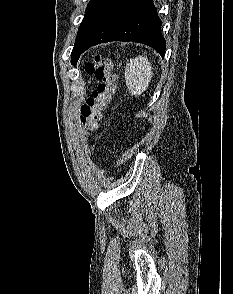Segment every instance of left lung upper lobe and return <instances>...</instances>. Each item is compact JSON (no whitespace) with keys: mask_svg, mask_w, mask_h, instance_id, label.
Returning a JSON list of instances; mask_svg holds the SVG:
<instances>
[{"mask_svg":"<svg viewBox=\"0 0 233 294\" xmlns=\"http://www.w3.org/2000/svg\"><path fill=\"white\" fill-rule=\"evenodd\" d=\"M111 1L112 0H90L85 11V16L79 27L74 48L72 51L71 63L73 65H75L79 59L84 41L86 40L92 28Z\"/></svg>","mask_w":233,"mask_h":294,"instance_id":"5c2ea615","label":"left lung upper lobe"}]
</instances>
